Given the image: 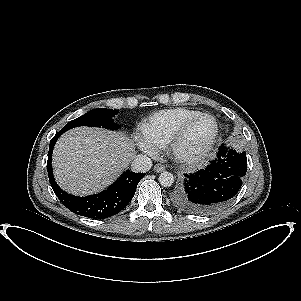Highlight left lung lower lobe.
Masks as SVG:
<instances>
[{"mask_svg":"<svg viewBox=\"0 0 301 301\" xmlns=\"http://www.w3.org/2000/svg\"><path fill=\"white\" fill-rule=\"evenodd\" d=\"M247 171L246 153L219 147L217 158L185 179L173 203L190 213L210 214L229 204L238 194Z\"/></svg>","mask_w":301,"mask_h":301,"instance_id":"0a47b994","label":"left lung lower lobe"}]
</instances>
